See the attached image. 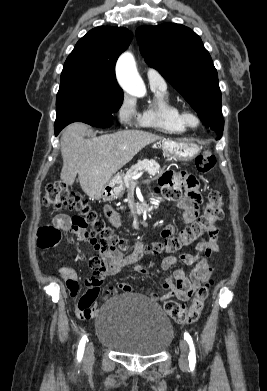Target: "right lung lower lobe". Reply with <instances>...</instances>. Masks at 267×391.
Returning <instances> with one entry per match:
<instances>
[{"label": "right lung lower lobe", "mask_w": 267, "mask_h": 391, "mask_svg": "<svg viewBox=\"0 0 267 391\" xmlns=\"http://www.w3.org/2000/svg\"><path fill=\"white\" fill-rule=\"evenodd\" d=\"M60 132V130L55 128V134L57 135Z\"/></svg>", "instance_id": "1"}]
</instances>
